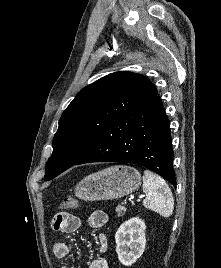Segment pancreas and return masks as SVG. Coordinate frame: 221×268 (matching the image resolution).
<instances>
[{
	"label": "pancreas",
	"instance_id": "obj_1",
	"mask_svg": "<svg viewBox=\"0 0 221 268\" xmlns=\"http://www.w3.org/2000/svg\"><path fill=\"white\" fill-rule=\"evenodd\" d=\"M116 212H117L118 217H123L126 213V208L119 205L116 207Z\"/></svg>",
	"mask_w": 221,
	"mask_h": 268
}]
</instances>
